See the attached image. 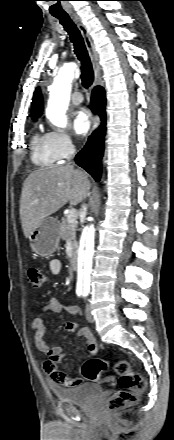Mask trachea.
<instances>
[{"label": "trachea", "instance_id": "1", "mask_svg": "<svg viewBox=\"0 0 174 440\" xmlns=\"http://www.w3.org/2000/svg\"><path fill=\"white\" fill-rule=\"evenodd\" d=\"M59 19L60 23L63 25L64 29L68 32L70 40L74 45V52L77 55L79 61L81 62V80L85 88H89L94 79V73L92 64L83 40V37L68 16H55Z\"/></svg>", "mask_w": 174, "mask_h": 440}]
</instances>
